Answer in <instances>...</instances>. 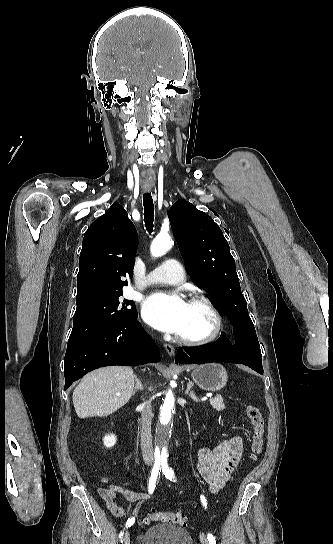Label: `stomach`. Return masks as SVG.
<instances>
[{
    "label": "stomach",
    "instance_id": "stomach-1",
    "mask_svg": "<svg viewBox=\"0 0 333 544\" xmlns=\"http://www.w3.org/2000/svg\"><path fill=\"white\" fill-rule=\"evenodd\" d=\"M191 376L200 388L212 392L224 388L228 378L225 368L218 363H205L197 366Z\"/></svg>",
    "mask_w": 333,
    "mask_h": 544
}]
</instances>
